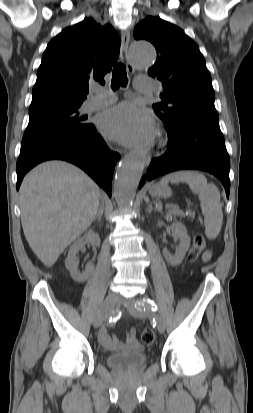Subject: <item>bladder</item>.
Wrapping results in <instances>:
<instances>
[{
  "label": "bladder",
  "mask_w": 253,
  "mask_h": 413,
  "mask_svg": "<svg viewBox=\"0 0 253 413\" xmlns=\"http://www.w3.org/2000/svg\"><path fill=\"white\" fill-rule=\"evenodd\" d=\"M107 364L118 370H136L142 368L147 363V356L138 347L133 350L113 353L107 356Z\"/></svg>",
  "instance_id": "bladder-1"
}]
</instances>
